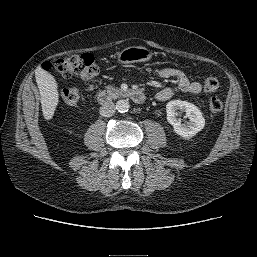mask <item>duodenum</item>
<instances>
[{
  "label": "duodenum",
  "mask_w": 257,
  "mask_h": 257,
  "mask_svg": "<svg viewBox=\"0 0 257 257\" xmlns=\"http://www.w3.org/2000/svg\"><path fill=\"white\" fill-rule=\"evenodd\" d=\"M125 95L136 104H142L145 100L144 93L140 90H128ZM111 100L112 94L110 91H102L98 94V102L102 105L108 104Z\"/></svg>",
  "instance_id": "duodenum-1"
}]
</instances>
